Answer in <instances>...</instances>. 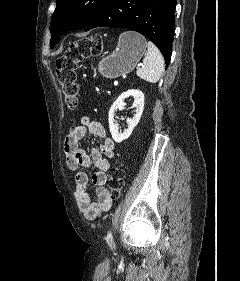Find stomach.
<instances>
[{
    "instance_id": "1",
    "label": "stomach",
    "mask_w": 240,
    "mask_h": 281,
    "mask_svg": "<svg viewBox=\"0 0 240 281\" xmlns=\"http://www.w3.org/2000/svg\"><path fill=\"white\" fill-rule=\"evenodd\" d=\"M146 51V40L138 33L128 31L120 35L117 48L98 64V71L107 78L128 74Z\"/></svg>"
}]
</instances>
